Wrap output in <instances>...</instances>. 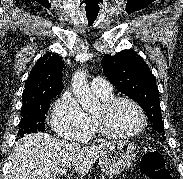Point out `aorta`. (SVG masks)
<instances>
[{"mask_svg": "<svg viewBox=\"0 0 183 179\" xmlns=\"http://www.w3.org/2000/svg\"><path fill=\"white\" fill-rule=\"evenodd\" d=\"M71 86L73 95L83 110L89 111L97 107L98 101L91 92L86 77V71H76L72 77Z\"/></svg>", "mask_w": 183, "mask_h": 179, "instance_id": "obj_1", "label": "aorta"}]
</instances>
